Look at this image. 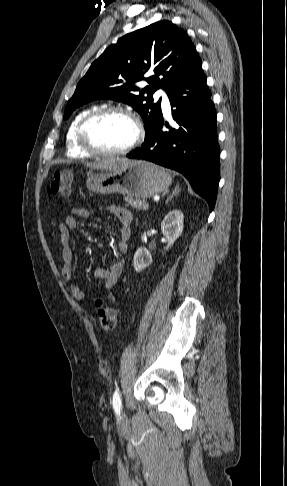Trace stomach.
I'll use <instances>...</instances> for the list:
<instances>
[{
    "instance_id": "stomach-1",
    "label": "stomach",
    "mask_w": 287,
    "mask_h": 486,
    "mask_svg": "<svg viewBox=\"0 0 287 486\" xmlns=\"http://www.w3.org/2000/svg\"><path fill=\"white\" fill-rule=\"evenodd\" d=\"M171 184V177L165 169L148 162L129 161L113 171H106L88 177L87 188L95 193L107 195L126 194L136 199L157 195Z\"/></svg>"
}]
</instances>
